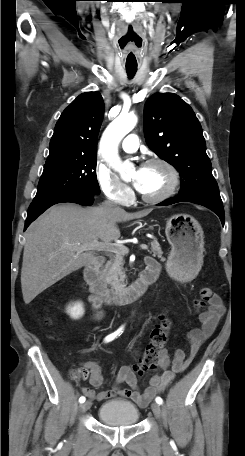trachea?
Segmentation results:
<instances>
[{
    "mask_svg": "<svg viewBox=\"0 0 245 456\" xmlns=\"http://www.w3.org/2000/svg\"><path fill=\"white\" fill-rule=\"evenodd\" d=\"M126 71H127L128 76L130 78H132L135 75L136 71H137V67H129V66H127L126 67Z\"/></svg>",
    "mask_w": 245,
    "mask_h": 456,
    "instance_id": "trachea-1",
    "label": "trachea"
}]
</instances>
